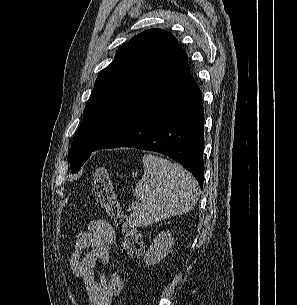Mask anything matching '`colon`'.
I'll list each match as a JSON object with an SVG mask.
<instances>
[{
	"label": "colon",
	"mask_w": 297,
	"mask_h": 305,
	"mask_svg": "<svg viewBox=\"0 0 297 305\" xmlns=\"http://www.w3.org/2000/svg\"><path fill=\"white\" fill-rule=\"evenodd\" d=\"M93 194L97 205L122 229L123 255L126 257L140 256L144 249L143 237L138 230L128 225L127 216L118 200L110 173L105 165H97L94 170Z\"/></svg>",
	"instance_id": "colon-1"
}]
</instances>
